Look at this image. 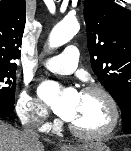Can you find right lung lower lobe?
I'll use <instances>...</instances> for the list:
<instances>
[{
  "mask_svg": "<svg viewBox=\"0 0 131 151\" xmlns=\"http://www.w3.org/2000/svg\"><path fill=\"white\" fill-rule=\"evenodd\" d=\"M14 110V106H6L0 104V117H5L11 114Z\"/></svg>",
  "mask_w": 131,
  "mask_h": 151,
  "instance_id": "1",
  "label": "right lung lower lobe"
}]
</instances>
